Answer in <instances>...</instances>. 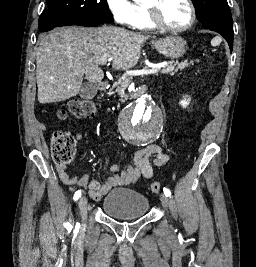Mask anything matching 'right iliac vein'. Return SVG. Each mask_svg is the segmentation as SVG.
I'll return each mask as SVG.
<instances>
[{
  "label": "right iliac vein",
  "mask_w": 256,
  "mask_h": 267,
  "mask_svg": "<svg viewBox=\"0 0 256 267\" xmlns=\"http://www.w3.org/2000/svg\"><path fill=\"white\" fill-rule=\"evenodd\" d=\"M78 206H79L81 218L85 221L87 218V199H86V197H82L79 200Z\"/></svg>",
  "instance_id": "63e3f726"
}]
</instances>
